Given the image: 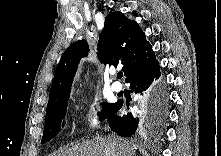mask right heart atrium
Returning a JSON list of instances; mask_svg holds the SVG:
<instances>
[{"label":"right heart atrium","instance_id":"obj_1","mask_svg":"<svg viewBox=\"0 0 221 156\" xmlns=\"http://www.w3.org/2000/svg\"><path fill=\"white\" fill-rule=\"evenodd\" d=\"M81 118L91 128L97 127L100 122L94 104H90L84 108Z\"/></svg>","mask_w":221,"mask_h":156}]
</instances>
